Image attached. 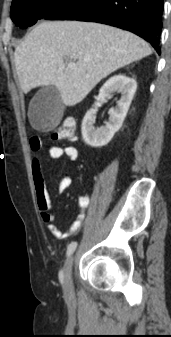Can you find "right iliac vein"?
Here are the masks:
<instances>
[{"label": "right iliac vein", "mask_w": 171, "mask_h": 337, "mask_svg": "<svg viewBox=\"0 0 171 337\" xmlns=\"http://www.w3.org/2000/svg\"><path fill=\"white\" fill-rule=\"evenodd\" d=\"M73 256H70L64 268V293L66 297H71L73 294L72 280H71V272L73 266Z\"/></svg>", "instance_id": "right-iliac-vein-1"}]
</instances>
